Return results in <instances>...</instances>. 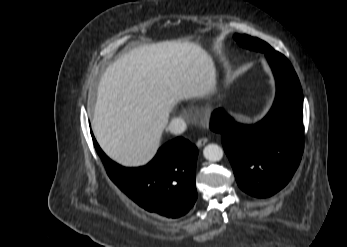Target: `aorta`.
<instances>
[{
  "label": "aorta",
  "instance_id": "obj_1",
  "mask_svg": "<svg viewBox=\"0 0 347 247\" xmlns=\"http://www.w3.org/2000/svg\"><path fill=\"white\" fill-rule=\"evenodd\" d=\"M203 155L210 162H218L223 158V149L217 144H208L203 150Z\"/></svg>",
  "mask_w": 347,
  "mask_h": 247
}]
</instances>
